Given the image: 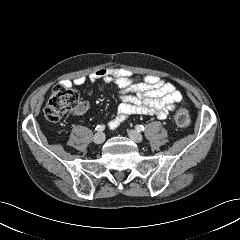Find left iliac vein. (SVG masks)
<instances>
[{
  "label": "left iliac vein",
  "mask_w": 240,
  "mask_h": 240,
  "mask_svg": "<svg viewBox=\"0 0 240 240\" xmlns=\"http://www.w3.org/2000/svg\"><path fill=\"white\" fill-rule=\"evenodd\" d=\"M128 135L136 143H140L143 140L142 135L135 130H130Z\"/></svg>",
  "instance_id": "obj_1"
}]
</instances>
